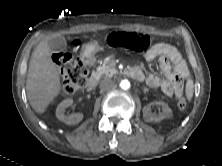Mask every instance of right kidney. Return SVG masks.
Instances as JSON below:
<instances>
[{"label": "right kidney", "instance_id": "obj_1", "mask_svg": "<svg viewBox=\"0 0 222 166\" xmlns=\"http://www.w3.org/2000/svg\"><path fill=\"white\" fill-rule=\"evenodd\" d=\"M72 103L73 99H65L57 106L56 109V117L67 125L78 124L83 119L82 113H72L69 115L65 114V109L71 106Z\"/></svg>", "mask_w": 222, "mask_h": 166}]
</instances>
